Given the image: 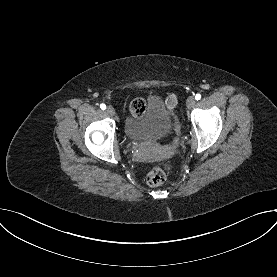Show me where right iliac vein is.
I'll use <instances>...</instances> for the list:
<instances>
[{"mask_svg":"<svg viewBox=\"0 0 277 277\" xmlns=\"http://www.w3.org/2000/svg\"><path fill=\"white\" fill-rule=\"evenodd\" d=\"M106 112L111 116L115 115V109L112 106H108Z\"/></svg>","mask_w":277,"mask_h":277,"instance_id":"1","label":"right iliac vein"}]
</instances>
